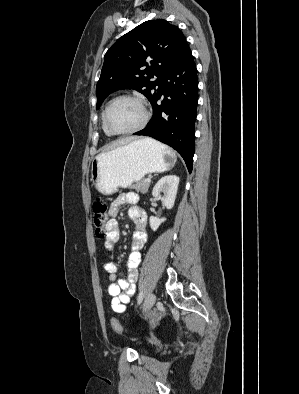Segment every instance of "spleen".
I'll return each mask as SVG.
<instances>
[{
    "instance_id": "1",
    "label": "spleen",
    "mask_w": 299,
    "mask_h": 394,
    "mask_svg": "<svg viewBox=\"0 0 299 394\" xmlns=\"http://www.w3.org/2000/svg\"><path fill=\"white\" fill-rule=\"evenodd\" d=\"M156 144H158V145H160V146H163V145H161L160 143H158V142H156V141H154Z\"/></svg>"
}]
</instances>
